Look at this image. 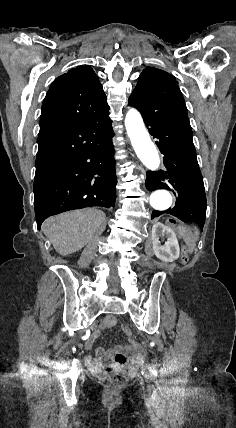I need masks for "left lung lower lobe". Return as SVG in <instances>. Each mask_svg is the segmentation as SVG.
Returning <instances> with one entry per match:
<instances>
[{
    "mask_svg": "<svg viewBox=\"0 0 236 428\" xmlns=\"http://www.w3.org/2000/svg\"><path fill=\"white\" fill-rule=\"evenodd\" d=\"M143 119L149 133L158 139L166 167L165 171L147 172L146 187L149 191L167 189L177 197L172 209L154 210L151 219L167 213L203 229L207 202L192 130L166 119Z\"/></svg>",
    "mask_w": 236,
    "mask_h": 428,
    "instance_id": "1",
    "label": "left lung lower lobe"
}]
</instances>
